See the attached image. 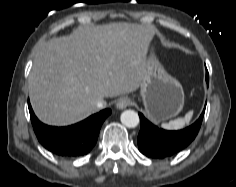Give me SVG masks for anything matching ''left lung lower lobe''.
<instances>
[{"label": "left lung lower lobe", "mask_w": 236, "mask_h": 187, "mask_svg": "<svg viewBox=\"0 0 236 187\" xmlns=\"http://www.w3.org/2000/svg\"><path fill=\"white\" fill-rule=\"evenodd\" d=\"M208 83V73L206 74ZM204 111L191 126L178 130L167 131L153 125L139 113L141 128L138 134V148L149 158L163 159L170 157L187 147L196 137L202 124Z\"/></svg>", "instance_id": "1"}]
</instances>
